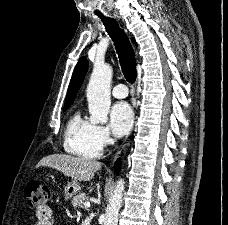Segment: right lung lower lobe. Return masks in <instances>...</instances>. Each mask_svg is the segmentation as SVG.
Masks as SVG:
<instances>
[{"label": "right lung lower lobe", "instance_id": "right-lung-lower-lobe-1", "mask_svg": "<svg viewBox=\"0 0 228 225\" xmlns=\"http://www.w3.org/2000/svg\"><path fill=\"white\" fill-rule=\"evenodd\" d=\"M120 167H121L120 159H117V161H116V163L114 165V171H115L116 174L119 173Z\"/></svg>", "mask_w": 228, "mask_h": 225}]
</instances>
